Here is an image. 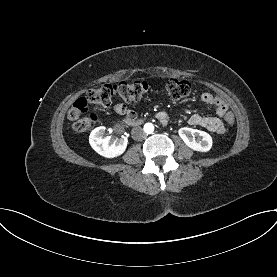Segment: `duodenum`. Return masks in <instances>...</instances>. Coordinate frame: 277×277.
Wrapping results in <instances>:
<instances>
[{
    "instance_id": "1",
    "label": "duodenum",
    "mask_w": 277,
    "mask_h": 277,
    "mask_svg": "<svg viewBox=\"0 0 277 277\" xmlns=\"http://www.w3.org/2000/svg\"><path fill=\"white\" fill-rule=\"evenodd\" d=\"M141 122L142 121L140 119H135V118H126L124 120V123L129 126H137V125L141 124Z\"/></svg>"
}]
</instances>
